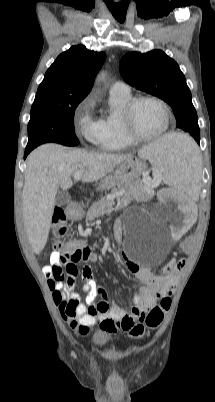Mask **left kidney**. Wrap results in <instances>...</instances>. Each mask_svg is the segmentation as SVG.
Here are the masks:
<instances>
[{
	"instance_id": "1",
	"label": "left kidney",
	"mask_w": 215,
	"mask_h": 402,
	"mask_svg": "<svg viewBox=\"0 0 215 402\" xmlns=\"http://www.w3.org/2000/svg\"><path fill=\"white\" fill-rule=\"evenodd\" d=\"M160 198L163 205H168V215L174 220H168L166 226L171 229L175 240H182L188 234L189 226L196 221L197 210L185 193L174 191L169 186H162Z\"/></svg>"
}]
</instances>
